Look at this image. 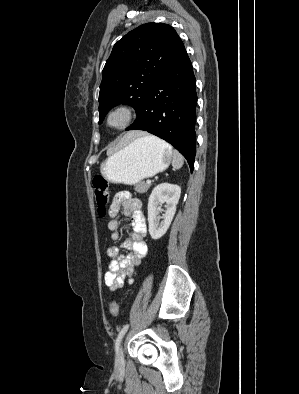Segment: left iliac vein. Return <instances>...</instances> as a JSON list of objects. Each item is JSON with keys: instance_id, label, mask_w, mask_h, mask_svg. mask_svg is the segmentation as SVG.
I'll use <instances>...</instances> for the list:
<instances>
[{"instance_id": "left-iliac-vein-1", "label": "left iliac vein", "mask_w": 299, "mask_h": 394, "mask_svg": "<svg viewBox=\"0 0 299 394\" xmlns=\"http://www.w3.org/2000/svg\"><path fill=\"white\" fill-rule=\"evenodd\" d=\"M124 364V355L122 346L118 348L117 355H116V366L120 367Z\"/></svg>"}]
</instances>
